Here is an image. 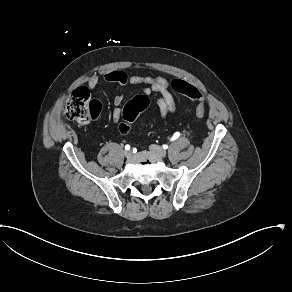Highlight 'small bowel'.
<instances>
[{
  "instance_id": "c3829d8e",
  "label": "small bowel",
  "mask_w": 292,
  "mask_h": 292,
  "mask_svg": "<svg viewBox=\"0 0 292 292\" xmlns=\"http://www.w3.org/2000/svg\"><path fill=\"white\" fill-rule=\"evenodd\" d=\"M101 78L107 82L117 83L122 87L127 85H141L143 86L142 91L145 95L157 94L158 116L161 122H166L176 112L177 107L171 93V82L164 77L128 74L121 70H110L103 73L102 76L97 74L92 75L87 82L88 88H96ZM123 101L124 95L122 93L114 97L112 118L115 123L120 122Z\"/></svg>"
}]
</instances>
